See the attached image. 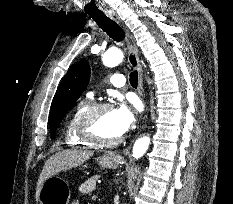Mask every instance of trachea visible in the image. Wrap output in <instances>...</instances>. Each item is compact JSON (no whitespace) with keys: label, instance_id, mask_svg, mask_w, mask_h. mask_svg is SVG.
Wrapping results in <instances>:
<instances>
[{"label":"trachea","instance_id":"trachea-1","mask_svg":"<svg viewBox=\"0 0 233 204\" xmlns=\"http://www.w3.org/2000/svg\"><path fill=\"white\" fill-rule=\"evenodd\" d=\"M89 16L107 33L113 40L121 42L125 38L123 29L112 19L107 17L103 12L89 13ZM130 84L133 87L138 85V72L130 73Z\"/></svg>","mask_w":233,"mask_h":204}]
</instances>
